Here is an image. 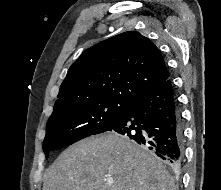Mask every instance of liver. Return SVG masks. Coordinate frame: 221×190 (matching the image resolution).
Wrapping results in <instances>:
<instances>
[{"mask_svg": "<svg viewBox=\"0 0 221 190\" xmlns=\"http://www.w3.org/2000/svg\"><path fill=\"white\" fill-rule=\"evenodd\" d=\"M43 190H175V186L154 156L127 138L108 133L65 149L45 172Z\"/></svg>", "mask_w": 221, "mask_h": 190, "instance_id": "1", "label": "liver"}]
</instances>
